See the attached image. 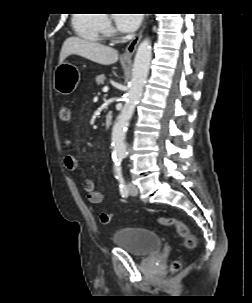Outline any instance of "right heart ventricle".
I'll return each instance as SVG.
<instances>
[{"instance_id": "1", "label": "right heart ventricle", "mask_w": 252, "mask_h": 303, "mask_svg": "<svg viewBox=\"0 0 252 303\" xmlns=\"http://www.w3.org/2000/svg\"><path fill=\"white\" fill-rule=\"evenodd\" d=\"M105 16L103 14H78L73 19L74 27L83 36L102 39L105 35Z\"/></svg>"}]
</instances>
